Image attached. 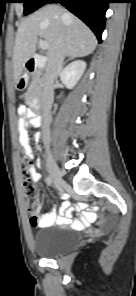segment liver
Here are the masks:
<instances>
[{
    "mask_svg": "<svg viewBox=\"0 0 136 296\" xmlns=\"http://www.w3.org/2000/svg\"><path fill=\"white\" fill-rule=\"evenodd\" d=\"M38 37L49 43L48 57L61 42L65 55L75 58L89 55L97 45L95 35L80 19L59 5H46L18 28L13 52L15 84L19 83L25 63L36 51Z\"/></svg>",
    "mask_w": 136,
    "mask_h": 296,
    "instance_id": "6515ba94",
    "label": "liver"
}]
</instances>
